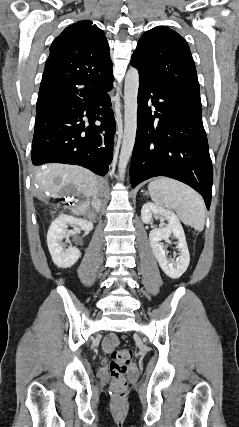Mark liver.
I'll return each mask as SVG.
<instances>
[{
	"instance_id": "6515ba94",
	"label": "liver",
	"mask_w": 239,
	"mask_h": 427,
	"mask_svg": "<svg viewBox=\"0 0 239 427\" xmlns=\"http://www.w3.org/2000/svg\"><path fill=\"white\" fill-rule=\"evenodd\" d=\"M36 183L39 186V198H45V193L50 197L58 198L63 195L64 188L73 185L76 188L75 195L82 194L86 200L77 206L78 214H85L90 206L99 210L97 197L98 179L90 170L71 165L48 164L37 169Z\"/></svg>"
}]
</instances>
